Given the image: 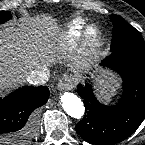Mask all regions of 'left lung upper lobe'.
Here are the masks:
<instances>
[{
	"instance_id": "obj_1",
	"label": "left lung upper lobe",
	"mask_w": 145,
	"mask_h": 145,
	"mask_svg": "<svg viewBox=\"0 0 145 145\" xmlns=\"http://www.w3.org/2000/svg\"><path fill=\"white\" fill-rule=\"evenodd\" d=\"M111 21L114 24L111 51L130 50L145 54V42L138 30L118 15H111Z\"/></svg>"
}]
</instances>
